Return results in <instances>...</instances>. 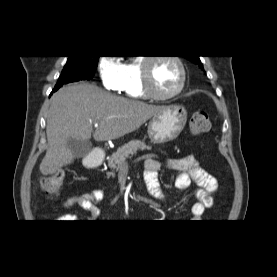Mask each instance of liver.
Segmentation results:
<instances>
[{"label":"liver","instance_id":"obj_1","mask_svg":"<svg viewBox=\"0 0 277 277\" xmlns=\"http://www.w3.org/2000/svg\"><path fill=\"white\" fill-rule=\"evenodd\" d=\"M164 106L127 100L87 83L68 85L53 94L47 113L48 148L40 164L43 175L53 174L74 161L66 146L69 138L115 140L138 130L161 113ZM98 127L93 132L92 124Z\"/></svg>","mask_w":277,"mask_h":277}]
</instances>
